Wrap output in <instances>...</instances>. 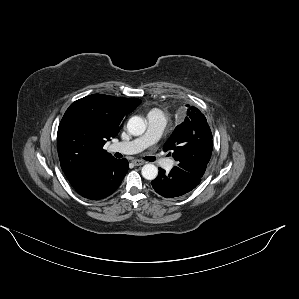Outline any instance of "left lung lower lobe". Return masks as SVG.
Segmentation results:
<instances>
[{
  "mask_svg": "<svg viewBox=\"0 0 299 299\" xmlns=\"http://www.w3.org/2000/svg\"><path fill=\"white\" fill-rule=\"evenodd\" d=\"M200 181L201 177L175 166L170 173L159 168V175L152 181V187L161 196L174 198L190 192Z\"/></svg>",
  "mask_w": 299,
  "mask_h": 299,
  "instance_id": "0a47b994",
  "label": "left lung lower lobe"
}]
</instances>
